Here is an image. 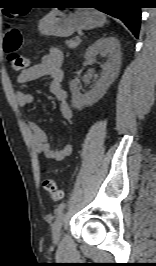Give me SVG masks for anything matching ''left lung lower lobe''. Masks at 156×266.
Here are the masks:
<instances>
[{
  "label": "left lung lower lobe",
  "mask_w": 156,
  "mask_h": 266,
  "mask_svg": "<svg viewBox=\"0 0 156 266\" xmlns=\"http://www.w3.org/2000/svg\"><path fill=\"white\" fill-rule=\"evenodd\" d=\"M62 3L78 7L97 8L110 16L120 19L138 38L141 10L140 0H64Z\"/></svg>",
  "instance_id": "left-lung-lower-lobe-1"
}]
</instances>
